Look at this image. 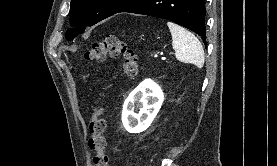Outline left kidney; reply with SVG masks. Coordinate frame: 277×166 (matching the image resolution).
<instances>
[{"instance_id": "5707ae66", "label": "left kidney", "mask_w": 277, "mask_h": 166, "mask_svg": "<svg viewBox=\"0 0 277 166\" xmlns=\"http://www.w3.org/2000/svg\"><path fill=\"white\" fill-rule=\"evenodd\" d=\"M163 101L161 87L151 79L144 80L124 102L121 119L126 131H145L156 117Z\"/></svg>"}]
</instances>
